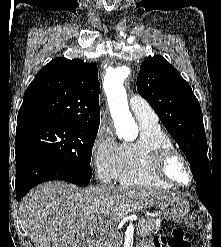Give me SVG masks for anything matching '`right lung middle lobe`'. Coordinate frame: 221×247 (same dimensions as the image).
<instances>
[{
  "instance_id": "obj_1",
  "label": "right lung middle lobe",
  "mask_w": 221,
  "mask_h": 247,
  "mask_svg": "<svg viewBox=\"0 0 221 247\" xmlns=\"http://www.w3.org/2000/svg\"><path fill=\"white\" fill-rule=\"evenodd\" d=\"M98 127L76 123L38 124L17 128L15 143L35 148L71 171L91 178L92 148Z\"/></svg>"
}]
</instances>
